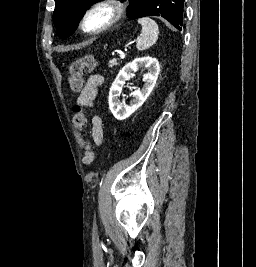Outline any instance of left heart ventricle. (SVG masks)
Wrapping results in <instances>:
<instances>
[{"label": "left heart ventricle", "instance_id": "1", "mask_svg": "<svg viewBox=\"0 0 256 267\" xmlns=\"http://www.w3.org/2000/svg\"><path fill=\"white\" fill-rule=\"evenodd\" d=\"M111 13L107 9H100L94 12L87 20L86 27L89 30H97L104 26L109 18Z\"/></svg>", "mask_w": 256, "mask_h": 267}]
</instances>
